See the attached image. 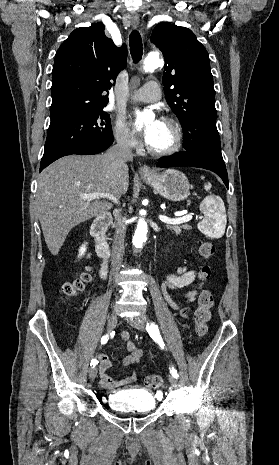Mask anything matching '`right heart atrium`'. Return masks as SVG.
<instances>
[{"label": "right heart atrium", "instance_id": "obj_1", "mask_svg": "<svg viewBox=\"0 0 279 465\" xmlns=\"http://www.w3.org/2000/svg\"><path fill=\"white\" fill-rule=\"evenodd\" d=\"M114 138L117 145L125 150L138 148L139 142L129 131L122 119H118L114 126Z\"/></svg>", "mask_w": 279, "mask_h": 465}]
</instances>
